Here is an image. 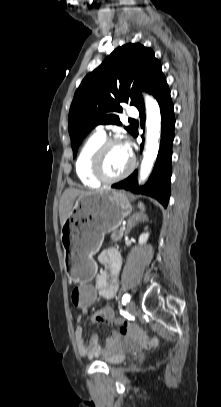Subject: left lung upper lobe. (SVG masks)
Returning <instances> with one entry per match:
<instances>
[{
  "label": "left lung upper lobe",
  "mask_w": 221,
  "mask_h": 407,
  "mask_svg": "<svg viewBox=\"0 0 221 407\" xmlns=\"http://www.w3.org/2000/svg\"><path fill=\"white\" fill-rule=\"evenodd\" d=\"M163 78L161 64L152 49L139 43L116 48L75 92L68 123L74 157L84 137L96 125H121L117 116L122 112L121 102L141 108L144 102L138 90L153 94ZM125 129L132 135L136 132L132 126Z\"/></svg>",
  "instance_id": "obj_1"
}]
</instances>
